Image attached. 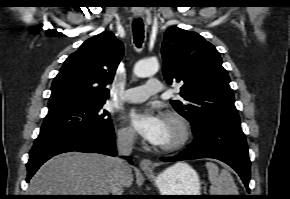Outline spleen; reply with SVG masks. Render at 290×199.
I'll return each mask as SVG.
<instances>
[{
	"label": "spleen",
	"mask_w": 290,
	"mask_h": 199,
	"mask_svg": "<svg viewBox=\"0 0 290 199\" xmlns=\"http://www.w3.org/2000/svg\"><path fill=\"white\" fill-rule=\"evenodd\" d=\"M205 166L211 183V195H238L234 180L227 170H222L219 173L218 166L213 162H206Z\"/></svg>",
	"instance_id": "1"
}]
</instances>
